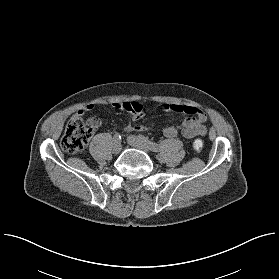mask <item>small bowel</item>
<instances>
[{
	"mask_svg": "<svg viewBox=\"0 0 279 279\" xmlns=\"http://www.w3.org/2000/svg\"><path fill=\"white\" fill-rule=\"evenodd\" d=\"M112 106L119 110H124L125 103L122 102H115ZM162 110L168 113H178L184 112L189 115L187 118L184 119L180 128L174 126H168L163 129V134L168 138L176 137L181 131V134L186 139H191L196 136H204L207 132V128L205 126V122L207 121L206 114L197 108L191 106H180V105H173V104H160L159 106ZM93 108L92 105H87L78 109V111L72 116L74 119H79L83 117V115L90 111ZM125 111V110H124ZM144 109L139 114L131 115V120L135 121L143 116ZM101 125V124H100ZM99 125V126H100ZM130 130L134 131H141L143 129L140 125L131 124L129 126Z\"/></svg>",
	"mask_w": 279,
	"mask_h": 279,
	"instance_id": "c3829d8e",
	"label": "small bowel"
}]
</instances>
